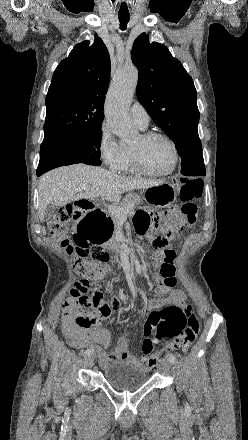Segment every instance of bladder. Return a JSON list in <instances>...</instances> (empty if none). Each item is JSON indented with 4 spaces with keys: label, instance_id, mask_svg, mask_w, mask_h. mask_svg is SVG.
<instances>
[{
    "label": "bladder",
    "instance_id": "31cf9c89",
    "mask_svg": "<svg viewBox=\"0 0 248 440\" xmlns=\"http://www.w3.org/2000/svg\"><path fill=\"white\" fill-rule=\"evenodd\" d=\"M104 380L114 389L128 390L142 386L149 378L148 370L125 361L115 362L103 370Z\"/></svg>",
    "mask_w": 248,
    "mask_h": 440
}]
</instances>
